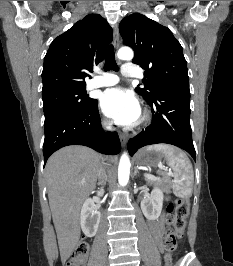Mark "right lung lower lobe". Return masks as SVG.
Here are the masks:
<instances>
[{"instance_id":"98d812e1","label":"right lung lower lobe","mask_w":233,"mask_h":266,"mask_svg":"<svg viewBox=\"0 0 233 266\" xmlns=\"http://www.w3.org/2000/svg\"><path fill=\"white\" fill-rule=\"evenodd\" d=\"M44 164L49 156L67 145H85L103 154H118L121 144L116 132L104 133L98 101L86 110L57 115L44 124Z\"/></svg>"}]
</instances>
